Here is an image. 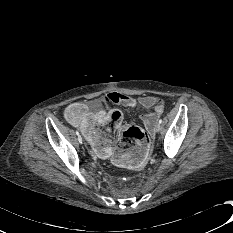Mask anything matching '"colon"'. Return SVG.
<instances>
[{
	"label": "colon",
	"mask_w": 233,
	"mask_h": 233,
	"mask_svg": "<svg viewBox=\"0 0 233 233\" xmlns=\"http://www.w3.org/2000/svg\"><path fill=\"white\" fill-rule=\"evenodd\" d=\"M84 111L85 109L82 104H73L68 111L69 121L71 123L79 122ZM118 131L120 133L121 148H131L135 144L147 141L145 132L136 125L121 124Z\"/></svg>",
	"instance_id": "5ec220e1"
}]
</instances>
